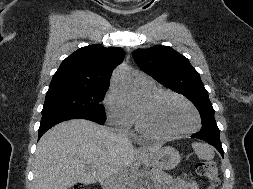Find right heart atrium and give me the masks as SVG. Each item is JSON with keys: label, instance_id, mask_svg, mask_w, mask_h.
Here are the masks:
<instances>
[{"label": "right heart atrium", "instance_id": "d8ad5b80", "mask_svg": "<svg viewBox=\"0 0 253 189\" xmlns=\"http://www.w3.org/2000/svg\"><path fill=\"white\" fill-rule=\"evenodd\" d=\"M104 107L109 122L116 128L127 131L135 123L133 111L126 105L121 94L110 88L104 97Z\"/></svg>", "mask_w": 253, "mask_h": 189}]
</instances>
